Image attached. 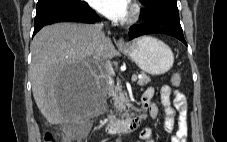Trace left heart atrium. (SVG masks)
<instances>
[{"instance_id":"left-heart-atrium-1","label":"left heart atrium","mask_w":227,"mask_h":142,"mask_svg":"<svg viewBox=\"0 0 227 142\" xmlns=\"http://www.w3.org/2000/svg\"><path fill=\"white\" fill-rule=\"evenodd\" d=\"M91 5L100 13L114 21L128 17L130 0H90Z\"/></svg>"}]
</instances>
